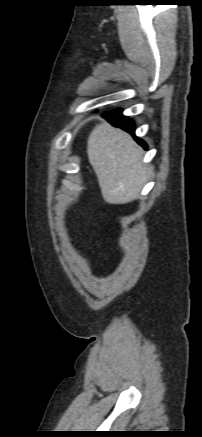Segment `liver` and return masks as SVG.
Segmentation results:
<instances>
[{"instance_id":"1","label":"liver","mask_w":202,"mask_h":437,"mask_svg":"<svg viewBox=\"0 0 202 437\" xmlns=\"http://www.w3.org/2000/svg\"><path fill=\"white\" fill-rule=\"evenodd\" d=\"M87 154L107 203L126 204L138 197L150 172L128 133L104 121L91 131Z\"/></svg>"}]
</instances>
